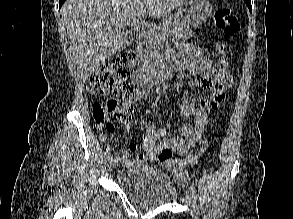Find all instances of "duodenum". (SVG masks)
<instances>
[{
    "mask_svg": "<svg viewBox=\"0 0 293 219\" xmlns=\"http://www.w3.org/2000/svg\"><path fill=\"white\" fill-rule=\"evenodd\" d=\"M146 39L145 32L141 31L137 34L135 51L141 52ZM172 76V68L168 65H158L154 68H143L137 71L133 76V83L137 87L146 88L152 85L164 84Z\"/></svg>",
    "mask_w": 293,
    "mask_h": 219,
    "instance_id": "1",
    "label": "duodenum"
}]
</instances>
